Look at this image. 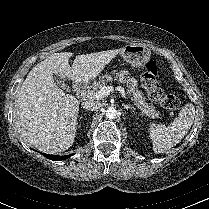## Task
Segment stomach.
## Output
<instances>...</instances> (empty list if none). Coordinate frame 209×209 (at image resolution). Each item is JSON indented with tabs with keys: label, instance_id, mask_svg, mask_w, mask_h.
<instances>
[{
	"label": "stomach",
	"instance_id": "1",
	"mask_svg": "<svg viewBox=\"0 0 209 209\" xmlns=\"http://www.w3.org/2000/svg\"><path fill=\"white\" fill-rule=\"evenodd\" d=\"M121 55L132 67L144 68L150 60L151 52L141 44H130L122 48Z\"/></svg>",
	"mask_w": 209,
	"mask_h": 209
}]
</instances>
